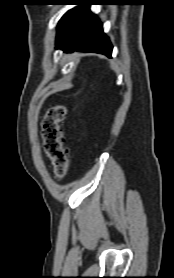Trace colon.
Segmentation results:
<instances>
[{
    "label": "colon",
    "instance_id": "1",
    "mask_svg": "<svg viewBox=\"0 0 174 278\" xmlns=\"http://www.w3.org/2000/svg\"><path fill=\"white\" fill-rule=\"evenodd\" d=\"M67 108L64 105L51 107L42 120V140L57 178L66 175L69 167V150L64 143L63 122Z\"/></svg>",
    "mask_w": 174,
    "mask_h": 278
}]
</instances>
